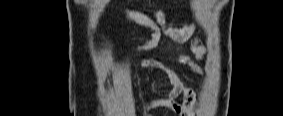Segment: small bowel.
Returning a JSON list of instances; mask_svg holds the SVG:
<instances>
[{
    "label": "small bowel",
    "mask_w": 283,
    "mask_h": 116,
    "mask_svg": "<svg viewBox=\"0 0 283 116\" xmlns=\"http://www.w3.org/2000/svg\"><path fill=\"white\" fill-rule=\"evenodd\" d=\"M123 14L126 18L129 20H132L139 25L148 28L151 31L150 38L146 41L145 44L138 46L135 50L138 52H144L152 49L155 47L160 39L161 36V29L158 25V23L151 17L138 12L136 10L132 9H125L123 11ZM159 17L161 16L160 13L157 14ZM193 27L192 26H186L183 28H180L178 30H175L172 32V37L175 41L179 43H183L188 40L192 33ZM191 49L196 56V58L201 59L204 54L206 53V47L204 45L203 39L201 37H198L193 42ZM180 62L186 63L191 65L198 73H201V70H199L197 67H195L189 59L187 58H180ZM143 65L145 67L151 66L150 62H144ZM156 67H159L163 69L169 76L172 89L170 90L168 97L169 99H176L178 97H183V102L181 104H175L174 110L179 115H187V116H194V108H195V95L194 92L183 86L179 78L176 76V74L168 67L160 64L155 63ZM158 104V102L152 103L151 105H148L146 109L154 107Z\"/></svg>",
    "instance_id": "small-bowel-1"
}]
</instances>
